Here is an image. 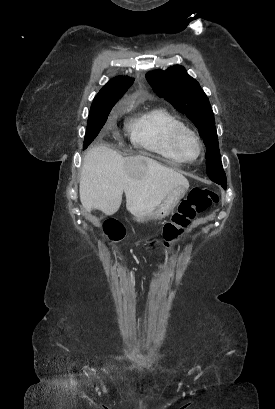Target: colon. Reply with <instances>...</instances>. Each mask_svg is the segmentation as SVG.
I'll return each instance as SVG.
<instances>
[{
    "label": "colon",
    "mask_w": 275,
    "mask_h": 409,
    "mask_svg": "<svg viewBox=\"0 0 275 409\" xmlns=\"http://www.w3.org/2000/svg\"><path fill=\"white\" fill-rule=\"evenodd\" d=\"M217 202L218 196L212 190L192 189L182 199L178 211L164 225L161 235L162 244L169 248L173 243L180 240L194 217L199 213L202 216H209L211 213L210 206ZM104 233L109 241L120 243L124 237V228L117 221H108L104 226ZM156 243V240H149L147 246L152 248Z\"/></svg>",
    "instance_id": "1"
}]
</instances>
